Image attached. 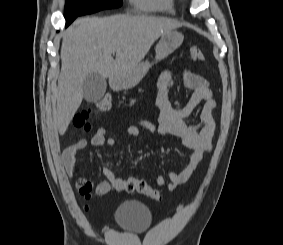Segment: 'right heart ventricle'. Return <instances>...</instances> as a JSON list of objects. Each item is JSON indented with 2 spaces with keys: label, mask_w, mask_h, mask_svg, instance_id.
Returning <instances> with one entry per match:
<instances>
[{
  "label": "right heart ventricle",
  "mask_w": 283,
  "mask_h": 245,
  "mask_svg": "<svg viewBox=\"0 0 283 245\" xmlns=\"http://www.w3.org/2000/svg\"><path fill=\"white\" fill-rule=\"evenodd\" d=\"M138 11L153 13H174V0H129Z\"/></svg>",
  "instance_id": "e07e8e85"
}]
</instances>
